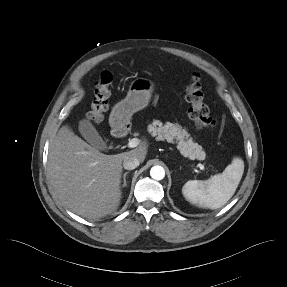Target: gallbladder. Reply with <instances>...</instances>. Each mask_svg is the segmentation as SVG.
<instances>
[{
  "mask_svg": "<svg viewBox=\"0 0 287 287\" xmlns=\"http://www.w3.org/2000/svg\"><path fill=\"white\" fill-rule=\"evenodd\" d=\"M78 130L81 136L93 147L97 149L105 148L103 139L89 120H81L78 125Z\"/></svg>",
  "mask_w": 287,
  "mask_h": 287,
  "instance_id": "1",
  "label": "gallbladder"
}]
</instances>
